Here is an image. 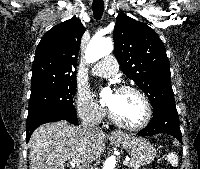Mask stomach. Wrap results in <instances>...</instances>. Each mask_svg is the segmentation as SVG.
I'll return each instance as SVG.
<instances>
[{
    "instance_id": "1",
    "label": "stomach",
    "mask_w": 200,
    "mask_h": 169,
    "mask_svg": "<svg viewBox=\"0 0 200 169\" xmlns=\"http://www.w3.org/2000/svg\"><path fill=\"white\" fill-rule=\"evenodd\" d=\"M114 141L122 144L131 159L139 166L151 163L156 156V149L143 138L123 136Z\"/></svg>"
}]
</instances>
